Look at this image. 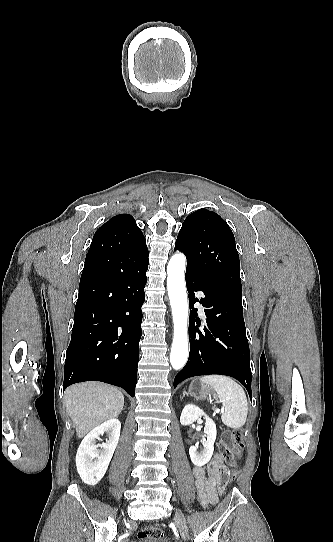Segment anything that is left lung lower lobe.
I'll return each mask as SVG.
<instances>
[{
    "mask_svg": "<svg viewBox=\"0 0 333 542\" xmlns=\"http://www.w3.org/2000/svg\"><path fill=\"white\" fill-rule=\"evenodd\" d=\"M185 279L190 306V353L187 364L175 377L174 387L193 376L228 375L240 381L252 399L250 351L243 318L242 291L205 281L188 270ZM197 291H203L205 297L196 299ZM196 301L203 304L207 316L204 328L200 329L197 309L193 307Z\"/></svg>",
    "mask_w": 333,
    "mask_h": 542,
    "instance_id": "0a47b994",
    "label": "left lung lower lobe"
}]
</instances>
